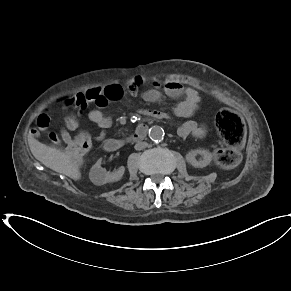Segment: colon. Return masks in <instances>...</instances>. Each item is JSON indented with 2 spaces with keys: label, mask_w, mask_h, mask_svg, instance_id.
I'll return each mask as SVG.
<instances>
[{
  "label": "colon",
  "mask_w": 291,
  "mask_h": 291,
  "mask_svg": "<svg viewBox=\"0 0 291 291\" xmlns=\"http://www.w3.org/2000/svg\"><path fill=\"white\" fill-rule=\"evenodd\" d=\"M60 107L76 105L74 95H66L62 97L58 103ZM48 111L55 109L53 102L46 104ZM67 122V121H66ZM217 129L227 144V148L216 150L214 156L216 162L223 166L229 167L235 165L239 160V147L243 144L245 138V125L241 117L234 111L229 109H222L216 115ZM48 137L50 140L55 139L57 136L55 132H49ZM91 144L90 137L85 132H79L72 137L68 143V149L75 159L81 158L89 149Z\"/></svg>",
  "instance_id": "5ec220e1"
}]
</instances>
